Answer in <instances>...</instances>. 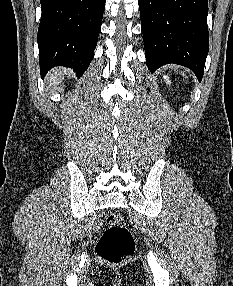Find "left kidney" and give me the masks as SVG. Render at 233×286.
Listing matches in <instances>:
<instances>
[{
  "label": "left kidney",
  "instance_id": "left-kidney-1",
  "mask_svg": "<svg viewBox=\"0 0 233 286\" xmlns=\"http://www.w3.org/2000/svg\"><path fill=\"white\" fill-rule=\"evenodd\" d=\"M164 79L166 80L167 84H169V85L171 84V81H170L168 76L164 75Z\"/></svg>",
  "mask_w": 233,
  "mask_h": 286
}]
</instances>
